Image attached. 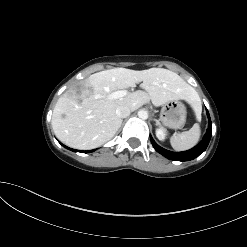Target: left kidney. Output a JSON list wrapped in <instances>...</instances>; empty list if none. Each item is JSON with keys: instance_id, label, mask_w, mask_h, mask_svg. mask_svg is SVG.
<instances>
[{"instance_id": "1", "label": "left kidney", "mask_w": 247, "mask_h": 247, "mask_svg": "<svg viewBox=\"0 0 247 247\" xmlns=\"http://www.w3.org/2000/svg\"><path fill=\"white\" fill-rule=\"evenodd\" d=\"M156 137L158 138V140L160 141H164L166 138V131L163 128H157L155 131Z\"/></svg>"}]
</instances>
